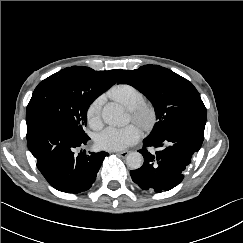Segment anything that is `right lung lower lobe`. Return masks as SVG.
Returning <instances> with one entry per match:
<instances>
[{
    "instance_id": "right-lung-lower-lobe-1",
    "label": "right lung lower lobe",
    "mask_w": 243,
    "mask_h": 243,
    "mask_svg": "<svg viewBox=\"0 0 243 243\" xmlns=\"http://www.w3.org/2000/svg\"><path fill=\"white\" fill-rule=\"evenodd\" d=\"M28 148L48 183L66 193L88 190L96 179L107 152L76 150L86 145L87 135L77 134L65 121L46 112L26 114Z\"/></svg>"
}]
</instances>
